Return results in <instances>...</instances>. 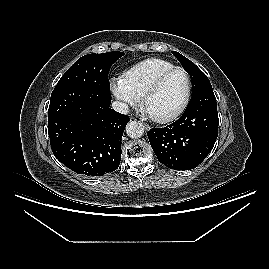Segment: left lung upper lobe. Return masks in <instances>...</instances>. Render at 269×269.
<instances>
[{
    "instance_id": "obj_1",
    "label": "left lung upper lobe",
    "mask_w": 269,
    "mask_h": 269,
    "mask_svg": "<svg viewBox=\"0 0 269 269\" xmlns=\"http://www.w3.org/2000/svg\"><path fill=\"white\" fill-rule=\"evenodd\" d=\"M172 53L176 56L186 72L190 75L194 87L193 95L206 87H211L207 76L193 62L176 51H172Z\"/></svg>"
}]
</instances>
